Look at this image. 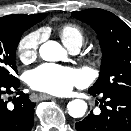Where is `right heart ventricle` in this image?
<instances>
[{
	"label": "right heart ventricle",
	"instance_id": "obj_1",
	"mask_svg": "<svg viewBox=\"0 0 131 131\" xmlns=\"http://www.w3.org/2000/svg\"><path fill=\"white\" fill-rule=\"evenodd\" d=\"M60 38L68 48L82 45L84 34L82 29L75 24H65L59 30Z\"/></svg>",
	"mask_w": 131,
	"mask_h": 131
}]
</instances>
